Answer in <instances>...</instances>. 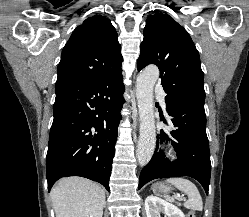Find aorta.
I'll return each instance as SVG.
<instances>
[{
    "label": "aorta",
    "mask_w": 249,
    "mask_h": 217,
    "mask_svg": "<svg viewBox=\"0 0 249 217\" xmlns=\"http://www.w3.org/2000/svg\"><path fill=\"white\" fill-rule=\"evenodd\" d=\"M158 78L159 69L150 65L136 80V99L140 116L136 157L140 166H145L151 160L156 146L153 89Z\"/></svg>",
    "instance_id": "aorta-1"
}]
</instances>
